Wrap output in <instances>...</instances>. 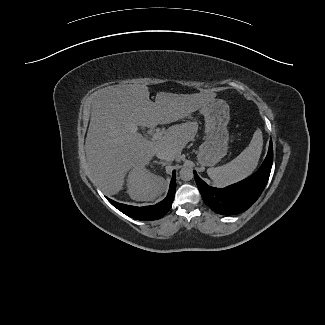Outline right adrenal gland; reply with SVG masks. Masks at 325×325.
<instances>
[{
	"label": "right adrenal gland",
	"mask_w": 325,
	"mask_h": 325,
	"mask_svg": "<svg viewBox=\"0 0 325 325\" xmlns=\"http://www.w3.org/2000/svg\"><path fill=\"white\" fill-rule=\"evenodd\" d=\"M153 163H156V164H161L162 167L166 166L167 165V162H163V161H156L154 160Z\"/></svg>",
	"instance_id": "obj_1"
}]
</instances>
